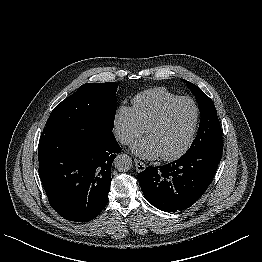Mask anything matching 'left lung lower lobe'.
<instances>
[{"mask_svg":"<svg viewBox=\"0 0 262 262\" xmlns=\"http://www.w3.org/2000/svg\"><path fill=\"white\" fill-rule=\"evenodd\" d=\"M222 157V148L186 152L164 166L148 167L138 174L146 200L159 210L189 208L206 191Z\"/></svg>","mask_w":262,"mask_h":262,"instance_id":"0a47b994","label":"left lung lower lobe"}]
</instances>
